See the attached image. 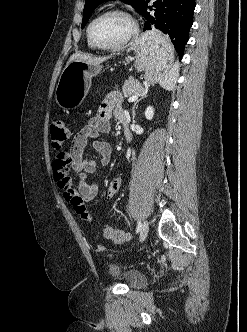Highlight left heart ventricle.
<instances>
[{
	"mask_svg": "<svg viewBox=\"0 0 247 332\" xmlns=\"http://www.w3.org/2000/svg\"><path fill=\"white\" fill-rule=\"evenodd\" d=\"M129 21L120 15H108L99 19L92 28L94 40L101 45H112L121 41L129 32Z\"/></svg>",
	"mask_w": 247,
	"mask_h": 332,
	"instance_id": "obj_1",
	"label": "left heart ventricle"
}]
</instances>
